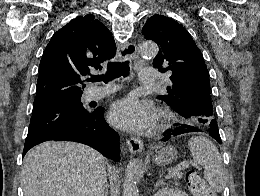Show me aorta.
Here are the masks:
<instances>
[{
  "label": "aorta",
  "instance_id": "762f6f07",
  "mask_svg": "<svg viewBox=\"0 0 260 196\" xmlns=\"http://www.w3.org/2000/svg\"><path fill=\"white\" fill-rule=\"evenodd\" d=\"M139 52L143 57H155L158 53V46L154 42L146 41L141 43ZM141 161L133 159L129 162L123 183V196H139L137 183L140 178Z\"/></svg>",
  "mask_w": 260,
  "mask_h": 196
}]
</instances>
